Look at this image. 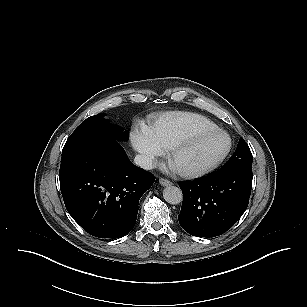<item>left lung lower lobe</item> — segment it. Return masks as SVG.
Returning a JSON list of instances; mask_svg holds the SVG:
<instances>
[{"label":"left lung lower lobe","mask_w":307,"mask_h":307,"mask_svg":"<svg viewBox=\"0 0 307 307\" xmlns=\"http://www.w3.org/2000/svg\"><path fill=\"white\" fill-rule=\"evenodd\" d=\"M252 178V170H229L180 183L183 203L178 219L182 228L197 237L225 233L248 206Z\"/></svg>","instance_id":"0a47b994"}]
</instances>
